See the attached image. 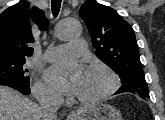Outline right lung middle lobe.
Wrapping results in <instances>:
<instances>
[{
	"label": "right lung middle lobe",
	"instance_id": "obj_1",
	"mask_svg": "<svg viewBox=\"0 0 165 120\" xmlns=\"http://www.w3.org/2000/svg\"><path fill=\"white\" fill-rule=\"evenodd\" d=\"M25 63V58L0 59V81L18 82L29 86Z\"/></svg>",
	"mask_w": 165,
	"mask_h": 120
}]
</instances>
